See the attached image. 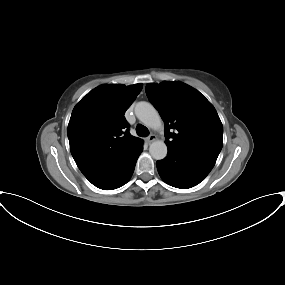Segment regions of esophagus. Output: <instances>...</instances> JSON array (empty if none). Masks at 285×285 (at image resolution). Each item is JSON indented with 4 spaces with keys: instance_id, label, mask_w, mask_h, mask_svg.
<instances>
[{
    "instance_id": "obj_1",
    "label": "esophagus",
    "mask_w": 285,
    "mask_h": 285,
    "mask_svg": "<svg viewBox=\"0 0 285 285\" xmlns=\"http://www.w3.org/2000/svg\"><path fill=\"white\" fill-rule=\"evenodd\" d=\"M156 139H157V137H156L155 134H150V135L146 138V141H147L148 143H152V142H154Z\"/></svg>"
}]
</instances>
